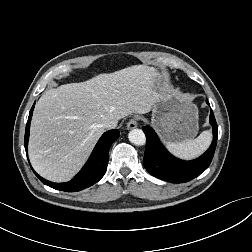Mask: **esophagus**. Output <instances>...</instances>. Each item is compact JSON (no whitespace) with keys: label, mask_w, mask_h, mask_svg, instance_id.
I'll use <instances>...</instances> for the list:
<instances>
[{"label":"esophagus","mask_w":252,"mask_h":252,"mask_svg":"<svg viewBox=\"0 0 252 252\" xmlns=\"http://www.w3.org/2000/svg\"><path fill=\"white\" fill-rule=\"evenodd\" d=\"M137 127V120L135 118H132L129 120V122L127 123V129H134Z\"/></svg>","instance_id":"esophagus-1"}]
</instances>
